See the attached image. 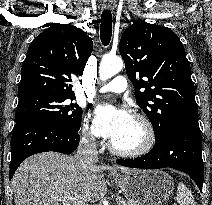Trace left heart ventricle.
<instances>
[{"label":"left heart ventricle","instance_id":"obj_1","mask_svg":"<svg viewBox=\"0 0 212 205\" xmlns=\"http://www.w3.org/2000/svg\"><path fill=\"white\" fill-rule=\"evenodd\" d=\"M144 139L142 126L132 118L129 125L112 142L120 149L128 150L138 147Z\"/></svg>","mask_w":212,"mask_h":205}]
</instances>
